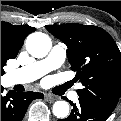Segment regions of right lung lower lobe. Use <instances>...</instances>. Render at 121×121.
Returning a JSON list of instances; mask_svg holds the SVG:
<instances>
[{
  "label": "right lung lower lobe",
  "mask_w": 121,
  "mask_h": 121,
  "mask_svg": "<svg viewBox=\"0 0 121 121\" xmlns=\"http://www.w3.org/2000/svg\"><path fill=\"white\" fill-rule=\"evenodd\" d=\"M2 93L1 86V121H21L31 101L43 97L42 93L36 92H10L6 96Z\"/></svg>",
  "instance_id": "98d812e1"
}]
</instances>
